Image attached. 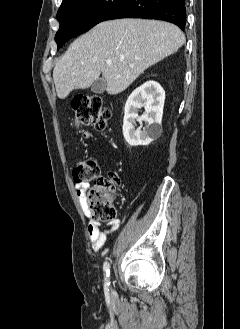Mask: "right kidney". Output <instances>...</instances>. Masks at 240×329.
Returning a JSON list of instances; mask_svg holds the SVG:
<instances>
[{
    "label": "right kidney",
    "instance_id": "obj_1",
    "mask_svg": "<svg viewBox=\"0 0 240 329\" xmlns=\"http://www.w3.org/2000/svg\"><path fill=\"white\" fill-rule=\"evenodd\" d=\"M165 91L155 81H147L135 89L125 104L123 136L130 146H147L162 133V115ZM145 113L139 117L138 109ZM136 121L145 122V128L135 130Z\"/></svg>",
    "mask_w": 240,
    "mask_h": 329
}]
</instances>
